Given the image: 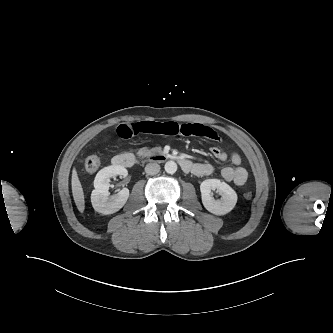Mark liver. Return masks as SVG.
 <instances>
[{
  "label": "liver",
  "instance_id": "6515ba94",
  "mask_svg": "<svg viewBox=\"0 0 333 333\" xmlns=\"http://www.w3.org/2000/svg\"><path fill=\"white\" fill-rule=\"evenodd\" d=\"M72 193L77 209L83 213L85 209L84 192L81 182L78 178L76 168H74L71 179Z\"/></svg>",
  "mask_w": 333,
  "mask_h": 333
}]
</instances>
